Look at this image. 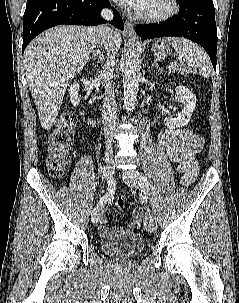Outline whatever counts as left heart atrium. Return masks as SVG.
Masks as SVG:
<instances>
[{
    "label": "left heart atrium",
    "instance_id": "obj_1",
    "mask_svg": "<svg viewBox=\"0 0 239 303\" xmlns=\"http://www.w3.org/2000/svg\"><path fill=\"white\" fill-rule=\"evenodd\" d=\"M122 3L129 5L134 10L141 12L146 6L148 0H120Z\"/></svg>",
    "mask_w": 239,
    "mask_h": 303
}]
</instances>
